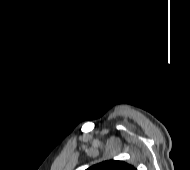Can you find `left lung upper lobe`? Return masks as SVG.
Segmentation results:
<instances>
[{
  "mask_svg": "<svg viewBox=\"0 0 190 170\" xmlns=\"http://www.w3.org/2000/svg\"><path fill=\"white\" fill-rule=\"evenodd\" d=\"M87 170H136L130 164L118 160H107L89 167Z\"/></svg>",
  "mask_w": 190,
  "mask_h": 170,
  "instance_id": "1",
  "label": "left lung upper lobe"
}]
</instances>
